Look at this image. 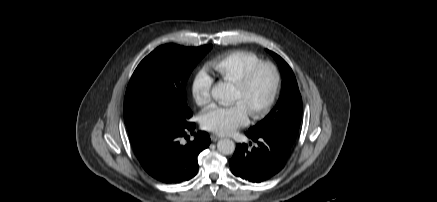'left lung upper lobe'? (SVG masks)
<instances>
[{
    "label": "left lung upper lobe",
    "mask_w": 437,
    "mask_h": 202,
    "mask_svg": "<svg viewBox=\"0 0 437 202\" xmlns=\"http://www.w3.org/2000/svg\"><path fill=\"white\" fill-rule=\"evenodd\" d=\"M267 51L277 61L283 77L281 94L271 112L251 127L249 131L278 137L289 146H292L297 137L302 117L301 94L290 66L276 53Z\"/></svg>",
    "instance_id": "obj_1"
}]
</instances>
